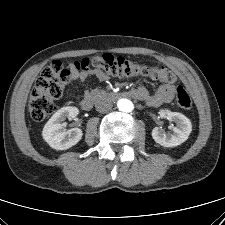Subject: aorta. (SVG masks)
<instances>
[{
  "label": "aorta",
  "instance_id": "aorta-1",
  "mask_svg": "<svg viewBox=\"0 0 225 225\" xmlns=\"http://www.w3.org/2000/svg\"><path fill=\"white\" fill-rule=\"evenodd\" d=\"M117 106L123 112H131L134 109L133 103L128 99H120L117 102Z\"/></svg>",
  "mask_w": 225,
  "mask_h": 225
}]
</instances>
